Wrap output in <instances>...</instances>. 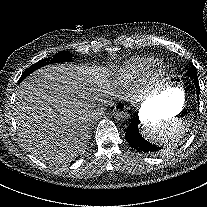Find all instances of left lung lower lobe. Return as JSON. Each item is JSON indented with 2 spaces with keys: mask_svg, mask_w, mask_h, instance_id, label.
Listing matches in <instances>:
<instances>
[{
  "mask_svg": "<svg viewBox=\"0 0 207 207\" xmlns=\"http://www.w3.org/2000/svg\"><path fill=\"white\" fill-rule=\"evenodd\" d=\"M195 87L197 88V99L199 101V83H198V76L194 75L191 77ZM135 116H133V119L131 120V124L128 127L125 135L127 142L130 144L131 147L136 149L138 152H144V153H151V152H156L160 150V147L155 146L149 142H147L139 133L138 130V123L140 120Z\"/></svg>",
  "mask_w": 207,
  "mask_h": 207,
  "instance_id": "0a47b994",
  "label": "left lung lower lobe"
}]
</instances>
